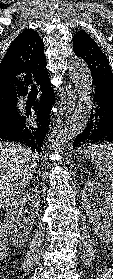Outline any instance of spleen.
Returning a JSON list of instances; mask_svg holds the SVG:
<instances>
[{
	"label": "spleen",
	"mask_w": 113,
	"mask_h": 279,
	"mask_svg": "<svg viewBox=\"0 0 113 279\" xmlns=\"http://www.w3.org/2000/svg\"><path fill=\"white\" fill-rule=\"evenodd\" d=\"M80 154L83 158L91 159L95 166H103L112 180L111 188L113 191V144L98 143L85 146L80 150Z\"/></svg>",
	"instance_id": "spleen-1"
}]
</instances>
